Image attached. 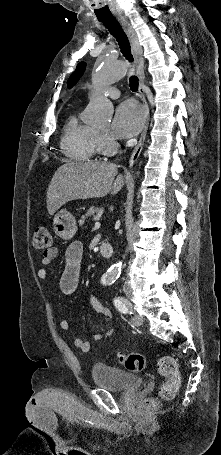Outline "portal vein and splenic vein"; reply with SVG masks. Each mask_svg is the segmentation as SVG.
Returning a JSON list of instances; mask_svg holds the SVG:
<instances>
[{
  "label": "portal vein and splenic vein",
  "mask_w": 221,
  "mask_h": 455,
  "mask_svg": "<svg viewBox=\"0 0 221 455\" xmlns=\"http://www.w3.org/2000/svg\"><path fill=\"white\" fill-rule=\"evenodd\" d=\"M100 226H101V223H100V222H98V221L95 222V228H100Z\"/></svg>",
  "instance_id": "obj_1"
}]
</instances>
